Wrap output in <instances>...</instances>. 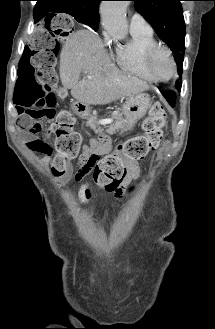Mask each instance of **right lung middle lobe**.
Returning <instances> with one entry per match:
<instances>
[{
  "mask_svg": "<svg viewBox=\"0 0 215 329\" xmlns=\"http://www.w3.org/2000/svg\"><path fill=\"white\" fill-rule=\"evenodd\" d=\"M65 13L73 16L75 18L76 21L83 23L85 25L90 26L93 30L97 31L98 29V24L99 22L96 21H88L87 19L84 18V16L81 14V12H77L74 10H70L69 8H65L63 10ZM53 17V16H52Z\"/></svg>",
  "mask_w": 215,
  "mask_h": 329,
  "instance_id": "dd1d6c3e",
  "label": "right lung middle lobe"
}]
</instances>
